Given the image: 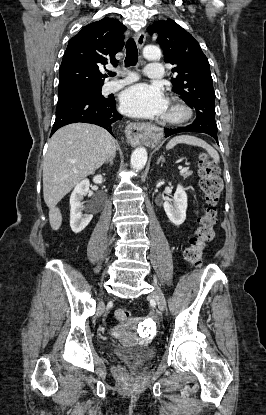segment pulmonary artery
Instances as JSON below:
<instances>
[{"instance_id":"obj_1","label":"pulmonary artery","mask_w":266,"mask_h":415,"mask_svg":"<svg viewBox=\"0 0 266 415\" xmlns=\"http://www.w3.org/2000/svg\"><path fill=\"white\" fill-rule=\"evenodd\" d=\"M146 75L151 79H161L163 77V66L160 63H150L146 66ZM136 80V76L132 73H128L124 79L111 81L106 85L108 92H114L123 86Z\"/></svg>"}]
</instances>
